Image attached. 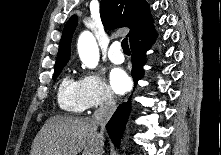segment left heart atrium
I'll use <instances>...</instances> for the list:
<instances>
[{
  "mask_svg": "<svg viewBox=\"0 0 221 155\" xmlns=\"http://www.w3.org/2000/svg\"><path fill=\"white\" fill-rule=\"evenodd\" d=\"M110 83L117 93H124L130 87V79L122 69H114L110 73Z\"/></svg>",
  "mask_w": 221,
  "mask_h": 155,
  "instance_id": "left-heart-atrium-1",
  "label": "left heart atrium"
}]
</instances>
